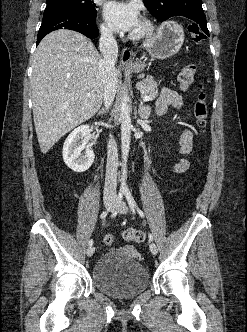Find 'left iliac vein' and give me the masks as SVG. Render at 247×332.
I'll use <instances>...</instances> for the list:
<instances>
[{"instance_id": "left-iliac-vein-1", "label": "left iliac vein", "mask_w": 247, "mask_h": 332, "mask_svg": "<svg viewBox=\"0 0 247 332\" xmlns=\"http://www.w3.org/2000/svg\"><path fill=\"white\" fill-rule=\"evenodd\" d=\"M114 211L120 214H126L128 212V207L124 202H122L117 207H115ZM149 248L153 255L158 253V248L154 242H150Z\"/></svg>"}]
</instances>
